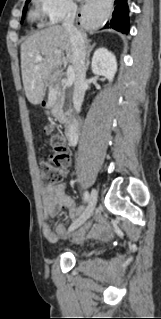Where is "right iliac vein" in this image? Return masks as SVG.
I'll list each match as a JSON object with an SVG mask.
<instances>
[{"mask_svg": "<svg viewBox=\"0 0 161 319\" xmlns=\"http://www.w3.org/2000/svg\"><path fill=\"white\" fill-rule=\"evenodd\" d=\"M97 202V191L95 189L92 190L91 192V197L88 203V206L86 208V210L84 211V213L78 218L76 219L68 228V231H73L74 229L78 228L80 225H82L89 217L90 215L93 213L95 205Z\"/></svg>", "mask_w": 161, "mask_h": 319, "instance_id": "right-iliac-vein-1", "label": "right iliac vein"}]
</instances>
